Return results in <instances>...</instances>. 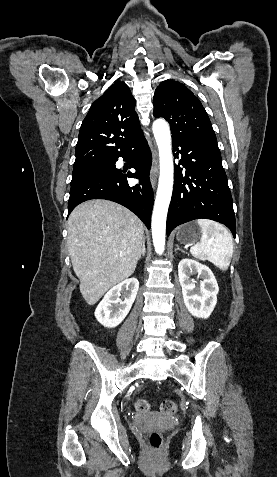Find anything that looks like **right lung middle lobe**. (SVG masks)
I'll list each match as a JSON object with an SVG mask.
<instances>
[{
  "instance_id": "obj_1",
  "label": "right lung middle lobe",
  "mask_w": 277,
  "mask_h": 477,
  "mask_svg": "<svg viewBox=\"0 0 277 477\" xmlns=\"http://www.w3.org/2000/svg\"><path fill=\"white\" fill-rule=\"evenodd\" d=\"M107 166H108V163L104 162V163H99L95 165L74 168L72 172L71 184Z\"/></svg>"
}]
</instances>
